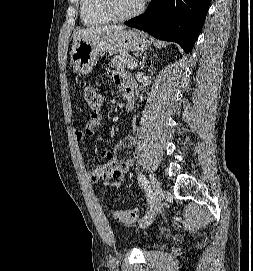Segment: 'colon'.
Masks as SVG:
<instances>
[{
  "instance_id": "obj_1",
  "label": "colon",
  "mask_w": 253,
  "mask_h": 271,
  "mask_svg": "<svg viewBox=\"0 0 253 271\" xmlns=\"http://www.w3.org/2000/svg\"><path fill=\"white\" fill-rule=\"evenodd\" d=\"M78 91L81 93L87 106L93 112H97L102 105L101 94L92 86L85 83L77 85ZM114 219L121 224H133L139 219V212L136 209L115 210L113 212Z\"/></svg>"
}]
</instances>
